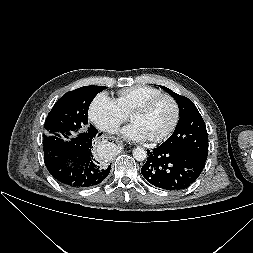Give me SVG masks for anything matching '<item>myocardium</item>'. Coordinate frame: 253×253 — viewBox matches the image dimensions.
I'll list each match as a JSON object with an SVG mask.
<instances>
[{
	"mask_svg": "<svg viewBox=\"0 0 253 253\" xmlns=\"http://www.w3.org/2000/svg\"><path fill=\"white\" fill-rule=\"evenodd\" d=\"M164 98L170 100V102L172 103L173 108H174V118L169 128L163 134H161L158 137L150 138L151 141L156 142V143L166 140L175 131V129L177 128L179 124L180 107L177 100L170 94L161 93L144 101L130 114V119L133 120L134 117L148 112L156 102Z\"/></svg>",
	"mask_w": 253,
	"mask_h": 253,
	"instance_id": "obj_1",
	"label": "myocardium"
}]
</instances>
